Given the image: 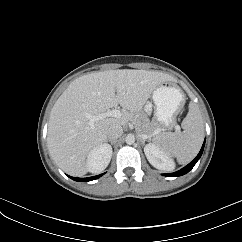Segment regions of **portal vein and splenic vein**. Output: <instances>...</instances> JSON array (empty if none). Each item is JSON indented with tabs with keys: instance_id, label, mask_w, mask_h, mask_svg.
<instances>
[{
	"instance_id": "18ae733b",
	"label": "portal vein and splenic vein",
	"mask_w": 242,
	"mask_h": 242,
	"mask_svg": "<svg viewBox=\"0 0 242 242\" xmlns=\"http://www.w3.org/2000/svg\"><path fill=\"white\" fill-rule=\"evenodd\" d=\"M86 117L89 119L90 126H93V124L101 119L107 118V117H114V118H120L122 116L121 112L117 109H113L104 113H100L98 115H91L90 113H85ZM176 130H180V126H175ZM143 138H148L147 135H142Z\"/></svg>"
}]
</instances>
